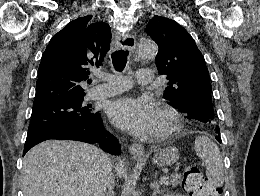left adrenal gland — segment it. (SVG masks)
Segmentation results:
<instances>
[{
  "instance_id": "1",
  "label": "left adrenal gland",
  "mask_w": 260,
  "mask_h": 196,
  "mask_svg": "<svg viewBox=\"0 0 260 196\" xmlns=\"http://www.w3.org/2000/svg\"><path fill=\"white\" fill-rule=\"evenodd\" d=\"M153 190L152 196H164V190H160V186L158 182H155V184H152L151 186Z\"/></svg>"
}]
</instances>
